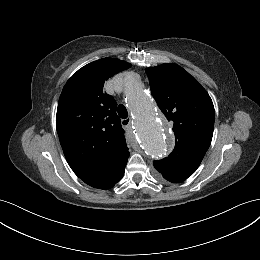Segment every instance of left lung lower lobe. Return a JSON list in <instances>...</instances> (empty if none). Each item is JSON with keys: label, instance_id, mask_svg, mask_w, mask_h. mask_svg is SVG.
<instances>
[{"label": "left lung lower lobe", "instance_id": "1", "mask_svg": "<svg viewBox=\"0 0 260 260\" xmlns=\"http://www.w3.org/2000/svg\"><path fill=\"white\" fill-rule=\"evenodd\" d=\"M160 178L162 180H167V181L172 182V183H181L185 180L183 178L171 177V176H164V177H160Z\"/></svg>", "mask_w": 260, "mask_h": 260}]
</instances>
